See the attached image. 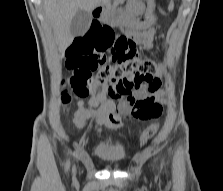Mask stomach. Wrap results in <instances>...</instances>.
Wrapping results in <instances>:
<instances>
[{
  "label": "stomach",
  "mask_w": 223,
  "mask_h": 191,
  "mask_svg": "<svg viewBox=\"0 0 223 191\" xmlns=\"http://www.w3.org/2000/svg\"><path fill=\"white\" fill-rule=\"evenodd\" d=\"M123 2L124 0H120ZM154 0H147V10L145 13V23H139L126 8H103L99 15V19L110 25L120 26L132 30H137L150 26L154 21L153 10Z\"/></svg>",
  "instance_id": "stomach-1"
}]
</instances>
